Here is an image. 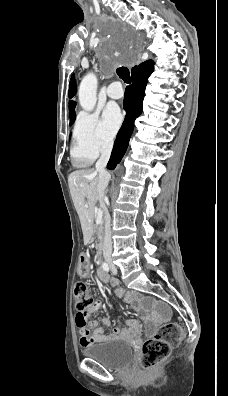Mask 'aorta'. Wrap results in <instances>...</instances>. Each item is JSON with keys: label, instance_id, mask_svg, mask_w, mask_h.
I'll use <instances>...</instances> for the list:
<instances>
[{"label": "aorta", "instance_id": "obj_1", "mask_svg": "<svg viewBox=\"0 0 228 396\" xmlns=\"http://www.w3.org/2000/svg\"><path fill=\"white\" fill-rule=\"evenodd\" d=\"M98 80L94 73H88L81 81L78 96L80 106L85 111H92L97 102Z\"/></svg>", "mask_w": 228, "mask_h": 396}]
</instances>
